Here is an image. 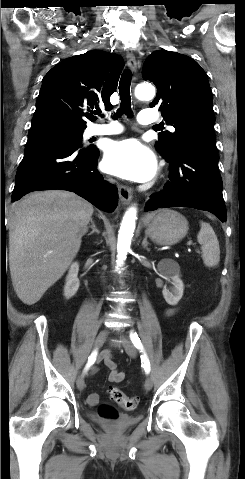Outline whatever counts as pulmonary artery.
<instances>
[{
	"mask_svg": "<svg viewBox=\"0 0 245 479\" xmlns=\"http://www.w3.org/2000/svg\"><path fill=\"white\" fill-rule=\"evenodd\" d=\"M109 123L107 124H95L89 130V135H114L120 133L123 128L122 126L111 119H109ZM160 118L158 117L156 111L154 109H144L141 110L138 115V121L140 124L143 125H154L158 123ZM170 130H174L173 127H170Z\"/></svg>",
	"mask_w": 245,
	"mask_h": 479,
	"instance_id": "obj_1",
	"label": "pulmonary artery"
}]
</instances>
